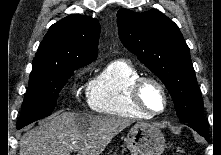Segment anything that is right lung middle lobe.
<instances>
[{"instance_id": "1", "label": "right lung middle lobe", "mask_w": 221, "mask_h": 155, "mask_svg": "<svg viewBox=\"0 0 221 155\" xmlns=\"http://www.w3.org/2000/svg\"><path fill=\"white\" fill-rule=\"evenodd\" d=\"M84 65L86 64L76 66L51 63L33 64L29 88L16 125L17 129L51 115L59 92L74 73V70Z\"/></svg>"}]
</instances>
